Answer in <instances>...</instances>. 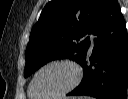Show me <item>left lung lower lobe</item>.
I'll return each mask as SVG.
<instances>
[{"label":"left lung lower lobe","instance_id":"obj_1","mask_svg":"<svg viewBox=\"0 0 128 99\" xmlns=\"http://www.w3.org/2000/svg\"><path fill=\"white\" fill-rule=\"evenodd\" d=\"M92 34L94 48L79 64L84 68L81 84L68 94L98 99H126L128 86V35L117 0H108ZM90 46V43H89ZM89 49V47H88Z\"/></svg>","mask_w":128,"mask_h":99}]
</instances>
